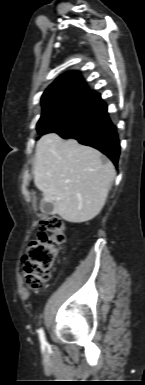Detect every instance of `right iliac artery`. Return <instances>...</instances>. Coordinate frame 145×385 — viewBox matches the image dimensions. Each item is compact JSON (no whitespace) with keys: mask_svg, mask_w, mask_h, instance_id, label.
Wrapping results in <instances>:
<instances>
[{"mask_svg":"<svg viewBox=\"0 0 145 385\" xmlns=\"http://www.w3.org/2000/svg\"><path fill=\"white\" fill-rule=\"evenodd\" d=\"M39 338H40L41 343L43 345H45L46 344V338H45V334H44L43 329L39 330Z\"/></svg>","mask_w":145,"mask_h":385,"instance_id":"82829eb1","label":"right iliac artery"}]
</instances>
